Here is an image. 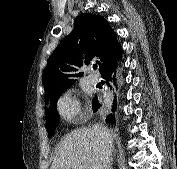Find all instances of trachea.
<instances>
[{"label":"trachea","instance_id":"obj_1","mask_svg":"<svg viewBox=\"0 0 177 169\" xmlns=\"http://www.w3.org/2000/svg\"><path fill=\"white\" fill-rule=\"evenodd\" d=\"M93 68H94V69H97V65H94Z\"/></svg>","mask_w":177,"mask_h":169}]
</instances>
